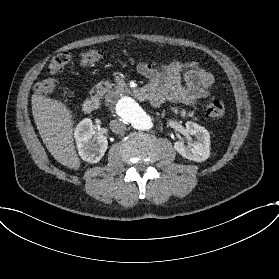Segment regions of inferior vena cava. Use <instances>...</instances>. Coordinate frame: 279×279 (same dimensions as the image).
<instances>
[{
	"instance_id": "1",
	"label": "inferior vena cava",
	"mask_w": 279,
	"mask_h": 279,
	"mask_svg": "<svg viewBox=\"0 0 279 279\" xmlns=\"http://www.w3.org/2000/svg\"><path fill=\"white\" fill-rule=\"evenodd\" d=\"M110 128L114 133L119 134L125 131L126 125L120 120L113 119L110 121Z\"/></svg>"
}]
</instances>
